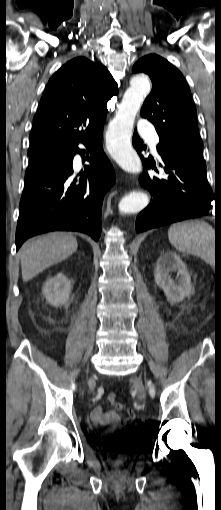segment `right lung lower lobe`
Instances as JSON below:
<instances>
[{"instance_id": "right-lung-lower-lobe-1", "label": "right lung lower lobe", "mask_w": 221, "mask_h": 510, "mask_svg": "<svg viewBox=\"0 0 221 510\" xmlns=\"http://www.w3.org/2000/svg\"><path fill=\"white\" fill-rule=\"evenodd\" d=\"M102 132L103 124L71 144L61 157L28 166L19 206L17 250L26 239L55 230L86 233L98 241L103 197L115 182L103 151ZM79 143L91 153L87 159L91 165L77 175L72 162L76 153L83 156Z\"/></svg>"}]
</instances>
